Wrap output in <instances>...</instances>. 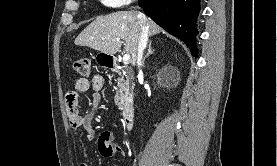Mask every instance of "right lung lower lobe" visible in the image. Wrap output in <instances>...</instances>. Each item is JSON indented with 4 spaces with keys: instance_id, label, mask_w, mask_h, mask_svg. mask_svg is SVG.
I'll return each mask as SVG.
<instances>
[{
    "instance_id": "right-lung-lower-lobe-1",
    "label": "right lung lower lobe",
    "mask_w": 277,
    "mask_h": 166,
    "mask_svg": "<svg viewBox=\"0 0 277 166\" xmlns=\"http://www.w3.org/2000/svg\"><path fill=\"white\" fill-rule=\"evenodd\" d=\"M139 6L154 22L181 39L197 57L196 18L200 0H139Z\"/></svg>"
}]
</instances>
